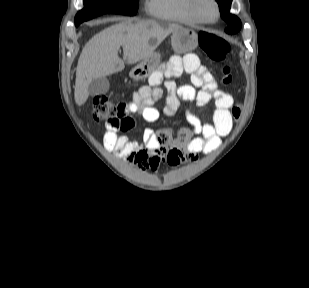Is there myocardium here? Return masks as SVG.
I'll return each instance as SVG.
<instances>
[{
    "mask_svg": "<svg viewBox=\"0 0 309 288\" xmlns=\"http://www.w3.org/2000/svg\"><path fill=\"white\" fill-rule=\"evenodd\" d=\"M215 8H216V18L213 20H208L206 18H204L200 12L199 9V3L201 2V0H190V11L192 13V15L194 16V18L202 24H215L219 21L220 17H221V7L219 4L218 0H210Z\"/></svg>",
    "mask_w": 309,
    "mask_h": 288,
    "instance_id": "f54148a6",
    "label": "myocardium"
}]
</instances>
